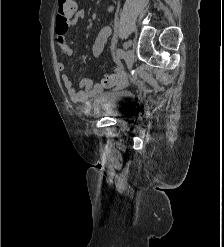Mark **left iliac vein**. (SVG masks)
<instances>
[{"label": "left iliac vein", "instance_id": "1", "mask_svg": "<svg viewBox=\"0 0 224 247\" xmlns=\"http://www.w3.org/2000/svg\"><path fill=\"white\" fill-rule=\"evenodd\" d=\"M125 61H126L128 69H130L134 63V52L132 50L129 49L126 51Z\"/></svg>", "mask_w": 224, "mask_h": 247}]
</instances>
